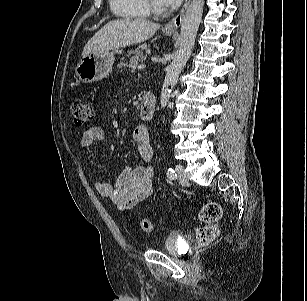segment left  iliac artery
Returning <instances> with one entry per match:
<instances>
[{"mask_svg": "<svg viewBox=\"0 0 307 301\" xmlns=\"http://www.w3.org/2000/svg\"><path fill=\"white\" fill-rule=\"evenodd\" d=\"M167 177H168L169 179H171V180L176 179L177 174H176V172L174 171L173 168H171V167L168 168V170H167Z\"/></svg>", "mask_w": 307, "mask_h": 301, "instance_id": "1", "label": "left iliac artery"}]
</instances>
